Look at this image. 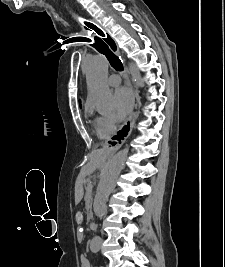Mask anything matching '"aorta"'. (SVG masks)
<instances>
[{"label": "aorta", "mask_w": 225, "mask_h": 267, "mask_svg": "<svg viewBox=\"0 0 225 267\" xmlns=\"http://www.w3.org/2000/svg\"><path fill=\"white\" fill-rule=\"evenodd\" d=\"M108 60L102 55H95L86 63V80L89 89V105L101 113L108 111L113 104V97L107 84ZM133 81L142 86L141 76L133 63L129 65ZM129 149L125 148L116 153L103 169L97 186L93 202V210L97 217L101 218L106 212V202L117 178L124 166ZM102 240L99 236L92 239L90 249L97 251Z\"/></svg>", "instance_id": "obj_1"}]
</instances>
